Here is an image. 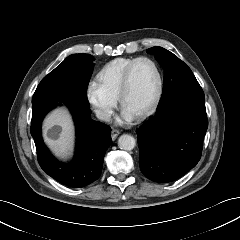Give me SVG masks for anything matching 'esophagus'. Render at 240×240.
<instances>
[{"instance_id":"34e87169","label":"esophagus","mask_w":240,"mask_h":240,"mask_svg":"<svg viewBox=\"0 0 240 240\" xmlns=\"http://www.w3.org/2000/svg\"><path fill=\"white\" fill-rule=\"evenodd\" d=\"M119 134H120V132L118 130L112 129V131H111L112 140H115Z\"/></svg>"}]
</instances>
